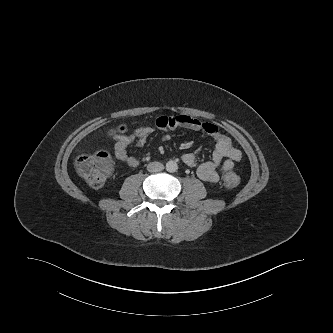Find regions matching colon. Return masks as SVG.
<instances>
[{
    "mask_svg": "<svg viewBox=\"0 0 333 333\" xmlns=\"http://www.w3.org/2000/svg\"><path fill=\"white\" fill-rule=\"evenodd\" d=\"M125 131V127L118 128ZM77 173L92 187H101L112 171V159L108 152L98 151L92 154H83L76 159ZM239 183V176L234 172H228L223 178V185L234 188Z\"/></svg>",
    "mask_w": 333,
    "mask_h": 333,
    "instance_id": "1",
    "label": "colon"
}]
</instances>
